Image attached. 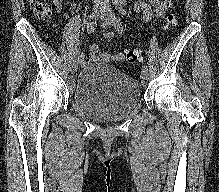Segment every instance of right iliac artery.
Listing matches in <instances>:
<instances>
[{"instance_id": "1", "label": "right iliac artery", "mask_w": 219, "mask_h": 192, "mask_svg": "<svg viewBox=\"0 0 219 192\" xmlns=\"http://www.w3.org/2000/svg\"><path fill=\"white\" fill-rule=\"evenodd\" d=\"M92 17V15H91ZM97 27V21L93 20L92 22L89 23V25L87 26V34H91L95 31ZM84 55L83 53H81L80 51L77 52V54L75 55V59L78 61H81L83 59Z\"/></svg>"}]
</instances>
